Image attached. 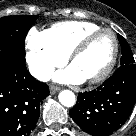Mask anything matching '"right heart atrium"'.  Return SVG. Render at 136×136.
I'll return each mask as SVG.
<instances>
[{
    "label": "right heart atrium",
    "instance_id": "1",
    "mask_svg": "<svg viewBox=\"0 0 136 136\" xmlns=\"http://www.w3.org/2000/svg\"><path fill=\"white\" fill-rule=\"evenodd\" d=\"M26 49L28 68L33 76L41 80L66 60V56L51 44L44 31L30 30L26 36Z\"/></svg>",
    "mask_w": 136,
    "mask_h": 136
}]
</instances>
